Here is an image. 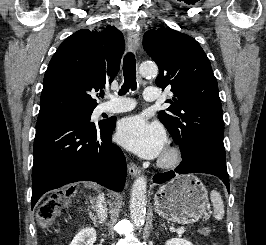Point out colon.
Instances as JSON below:
<instances>
[{
    "instance_id": "5ec220e1",
    "label": "colon",
    "mask_w": 266,
    "mask_h": 245,
    "mask_svg": "<svg viewBox=\"0 0 266 245\" xmlns=\"http://www.w3.org/2000/svg\"><path fill=\"white\" fill-rule=\"evenodd\" d=\"M64 203H65V198L62 195L46 199L38 209V215L41 224L43 226H49L53 222L54 217L59 212ZM210 233L211 231L209 228L201 229V234L203 236L208 237L210 236ZM213 245H217V243L214 242Z\"/></svg>"
}]
</instances>
